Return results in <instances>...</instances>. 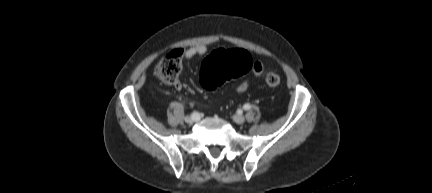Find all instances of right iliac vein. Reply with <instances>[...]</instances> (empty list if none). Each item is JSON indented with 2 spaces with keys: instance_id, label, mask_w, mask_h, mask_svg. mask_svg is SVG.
I'll use <instances>...</instances> for the list:
<instances>
[{
  "instance_id": "right-iliac-vein-1",
  "label": "right iliac vein",
  "mask_w": 432,
  "mask_h": 193,
  "mask_svg": "<svg viewBox=\"0 0 432 193\" xmlns=\"http://www.w3.org/2000/svg\"><path fill=\"white\" fill-rule=\"evenodd\" d=\"M199 120V115L197 114V116H186L185 117V122H187V123H189V124H191V123H193V122H196V121H198Z\"/></svg>"
}]
</instances>
